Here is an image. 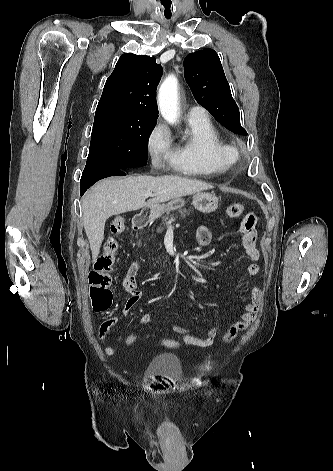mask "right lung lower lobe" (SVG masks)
<instances>
[{
	"mask_svg": "<svg viewBox=\"0 0 333 471\" xmlns=\"http://www.w3.org/2000/svg\"><path fill=\"white\" fill-rule=\"evenodd\" d=\"M125 175L124 169L118 168H85L80 180L81 195L100 179L110 176Z\"/></svg>",
	"mask_w": 333,
	"mask_h": 471,
	"instance_id": "98d812e1",
	"label": "right lung lower lobe"
}]
</instances>
